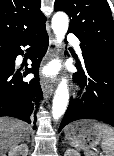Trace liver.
I'll list each match as a JSON object with an SVG mask.
<instances>
[{
	"label": "liver",
	"instance_id": "obj_1",
	"mask_svg": "<svg viewBox=\"0 0 114 156\" xmlns=\"http://www.w3.org/2000/svg\"><path fill=\"white\" fill-rule=\"evenodd\" d=\"M30 126L18 119L0 117V156L27 139Z\"/></svg>",
	"mask_w": 114,
	"mask_h": 156
}]
</instances>
